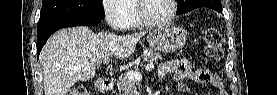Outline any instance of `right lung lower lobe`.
<instances>
[{
  "label": "right lung lower lobe",
  "mask_w": 277,
  "mask_h": 95,
  "mask_svg": "<svg viewBox=\"0 0 277 95\" xmlns=\"http://www.w3.org/2000/svg\"><path fill=\"white\" fill-rule=\"evenodd\" d=\"M100 20H85V21H60V22H51L45 25L37 27V58H39L40 51L51 34L55 31L73 26H89L98 24Z\"/></svg>",
  "instance_id": "right-lung-lower-lobe-1"
}]
</instances>
